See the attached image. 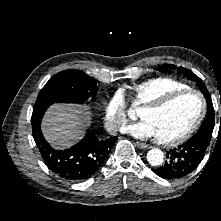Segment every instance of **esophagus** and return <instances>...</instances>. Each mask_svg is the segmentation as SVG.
Instances as JSON below:
<instances>
[{"mask_svg": "<svg viewBox=\"0 0 221 221\" xmlns=\"http://www.w3.org/2000/svg\"><path fill=\"white\" fill-rule=\"evenodd\" d=\"M137 147L141 148V149H149L150 147L142 142H136Z\"/></svg>", "mask_w": 221, "mask_h": 221, "instance_id": "1", "label": "esophagus"}]
</instances>
